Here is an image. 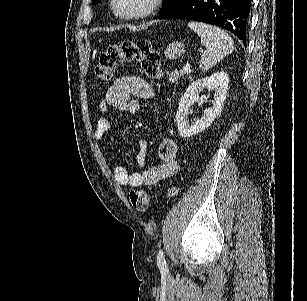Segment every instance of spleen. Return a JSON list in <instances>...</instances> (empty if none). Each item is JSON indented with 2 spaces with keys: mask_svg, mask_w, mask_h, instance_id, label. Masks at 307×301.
<instances>
[{
  "mask_svg": "<svg viewBox=\"0 0 307 301\" xmlns=\"http://www.w3.org/2000/svg\"><path fill=\"white\" fill-rule=\"evenodd\" d=\"M188 26L199 34L201 44L206 48L199 58L201 70H209L226 54L233 52L234 40L226 30L213 26V24H205V22H188Z\"/></svg>",
  "mask_w": 307,
  "mask_h": 301,
  "instance_id": "1",
  "label": "spleen"
}]
</instances>
